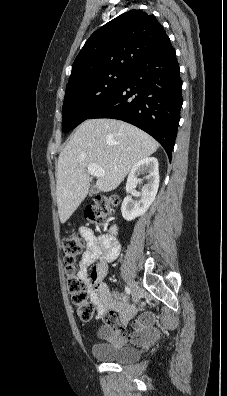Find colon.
Listing matches in <instances>:
<instances>
[{"label": "colon", "mask_w": 227, "mask_h": 396, "mask_svg": "<svg viewBox=\"0 0 227 396\" xmlns=\"http://www.w3.org/2000/svg\"><path fill=\"white\" fill-rule=\"evenodd\" d=\"M118 203L114 196H96L92 205L85 211V217L91 223L104 225L107 222V215L111 207ZM85 242L78 236L72 234L63 239L62 250L67 275V289L73 304L76 306L77 315L80 320L88 322L92 319L95 312V305L88 300L84 282L77 276V260L84 252Z\"/></svg>", "instance_id": "1"}]
</instances>
